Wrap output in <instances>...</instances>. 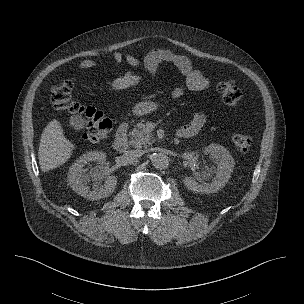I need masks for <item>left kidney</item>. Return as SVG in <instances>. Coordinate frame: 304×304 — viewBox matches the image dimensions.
Instances as JSON below:
<instances>
[{"label": "left kidney", "mask_w": 304, "mask_h": 304, "mask_svg": "<svg viewBox=\"0 0 304 304\" xmlns=\"http://www.w3.org/2000/svg\"><path fill=\"white\" fill-rule=\"evenodd\" d=\"M207 152L213 161L217 164L216 175L212 176V170L207 166L200 168L199 172H196V178L200 182L198 183L193 177H185V186L193 192L201 193H215L222 189L229 181L230 175L234 169V159L229 151L218 144H210L207 147ZM199 168V167H198ZM212 178L210 183H206L205 180Z\"/></svg>", "instance_id": "1"}]
</instances>
